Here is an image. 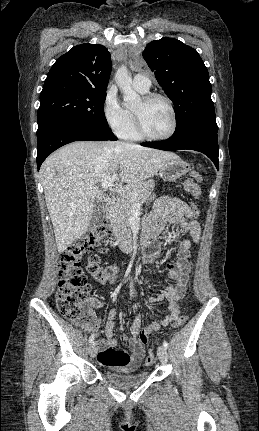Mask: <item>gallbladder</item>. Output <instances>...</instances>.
I'll list each match as a JSON object with an SVG mask.
<instances>
[{
  "instance_id": "bac80fb5",
  "label": "gallbladder",
  "mask_w": 259,
  "mask_h": 431,
  "mask_svg": "<svg viewBox=\"0 0 259 431\" xmlns=\"http://www.w3.org/2000/svg\"><path fill=\"white\" fill-rule=\"evenodd\" d=\"M104 217H105L104 204L101 202H97L92 212L89 228L90 229L97 228L103 222Z\"/></svg>"
}]
</instances>
